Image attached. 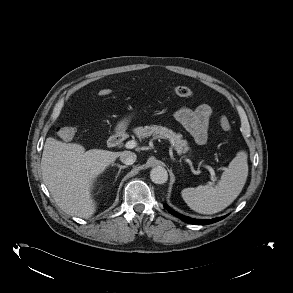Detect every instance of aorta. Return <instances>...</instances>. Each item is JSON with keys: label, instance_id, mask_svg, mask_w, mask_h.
<instances>
[{"label": "aorta", "instance_id": "obj_1", "mask_svg": "<svg viewBox=\"0 0 293 293\" xmlns=\"http://www.w3.org/2000/svg\"><path fill=\"white\" fill-rule=\"evenodd\" d=\"M150 178L156 184H164L168 180V172L161 166L154 167L150 172Z\"/></svg>", "mask_w": 293, "mask_h": 293}]
</instances>
